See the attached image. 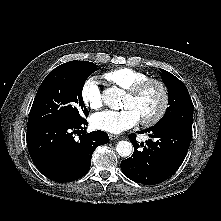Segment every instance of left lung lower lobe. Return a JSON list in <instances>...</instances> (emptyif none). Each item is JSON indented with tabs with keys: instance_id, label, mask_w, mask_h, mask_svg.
I'll return each instance as SVG.
<instances>
[{
	"instance_id": "1",
	"label": "left lung lower lobe",
	"mask_w": 221,
	"mask_h": 221,
	"mask_svg": "<svg viewBox=\"0 0 221 221\" xmlns=\"http://www.w3.org/2000/svg\"><path fill=\"white\" fill-rule=\"evenodd\" d=\"M138 133H146L153 140L139 143L134 133L129 135L134 153L121 162L123 174L137 183L149 185L159 183L176 172L190 146L192 127L173 124L150 127Z\"/></svg>"
}]
</instances>
